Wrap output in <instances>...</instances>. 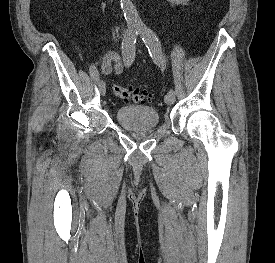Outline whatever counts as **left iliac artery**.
<instances>
[{
    "instance_id": "left-iliac-artery-1",
    "label": "left iliac artery",
    "mask_w": 275,
    "mask_h": 263,
    "mask_svg": "<svg viewBox=\"0 0 275 263\" xmlns=\"http://www.w3.org/2000/svg\"><path fill=\"white\" fill-rule=\"evenodd\" d=\"M138 34L142 38L143 42L145 43L150 56L153 59V62L157 64L162 70L166 67V59L162 52L160 42L153 33L152 30L147 28L145 25H141L137 28ZM169 93L175 94L174 90H169Z\"/></svg>"
}]
</instances>
